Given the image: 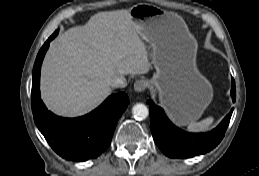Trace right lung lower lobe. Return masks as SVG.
Returning <instances> with one entry per match:
<instances>
[{"mask_svg": "<svg viewBox=\"0 0 259 176\" xmlns=\"http://www.w3.org/2000/svg\"><path fill=\"white\" fill-rule=\"evenodd\" d=\"M56 30L40 49L32 79L31 106L36 126L52 149L71 161L98 157L110 145L117 121L129 104L122 92L109 96L97 109L79 118H61L47 110L40 98V70Z\"/></svg>", "mask_w": 259, "mask_h": 176, "instance_id": "right-lung-lower-lobe-1", "label": "right lung lower lobe"}]
</instances>
